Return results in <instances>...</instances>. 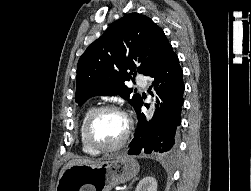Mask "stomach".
Returning a JSON list of instances; mask_svg holds the SVG:
<instances>
[{
    "label": "stomach",
    "mask_w": 251,
    "mask_h": 191,
    "mask_svg": "<svg viewBox=\"0 0 251 191\" xmlns=\"http://www.w3.org/2000/svg\"><path fill=\"white\" fill-rule=\"evenodd\" d=\"M139 171L132 155L101 157L95 165H71L62 173L56 191H110L114 185L129 181Z\"/></svg>",
    "instance_id": "0dacf381"
}]
</instances>
